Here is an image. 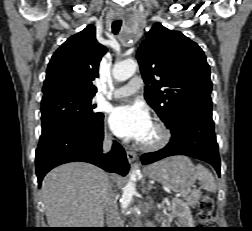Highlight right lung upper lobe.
<instances>
[{
	"label": "right lung upper lobe",
	"instance_id": "right-lung-upper-lobe-1",
	"mask_svg": "<svg viewBox=\"0 0 252 231\" xmlns=\"http://www.w3.org/2000/svg\"><path fill=\"white\" fill-rule=\"evenodd\" d=\"M95 27L88 25L68 38L53 54L43 85V99L58 94L93 97L98 67L107 48L96 40Z\"/></svg>",
	"mask_w": 252,
	"mask_h": 231
}]
</instances>
